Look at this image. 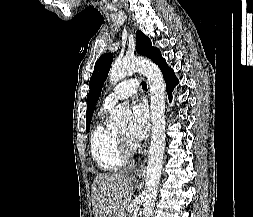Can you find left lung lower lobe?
Instances as JSON below:
<instances>
[{"instance_id":"0a47b994","label":"left lung lower lobe","mask_w":253,"mask_h":217,"mask_svg":"<svg viewBox=\"0 0 253 217\" xmlns=\"http://www.w3.org/2000/svg\"><path fill=\"white\" fill-rule=\"evenodd\" d=\"M159 67L163 73V76H164V79L166 82V91L168 93L169 99L171 100L172 99V91H173L174 87L178 84V80H177L174 72L172 71V69L167 66L166 61L159 64Z\"/></svg>"}]
</instances>
